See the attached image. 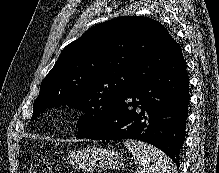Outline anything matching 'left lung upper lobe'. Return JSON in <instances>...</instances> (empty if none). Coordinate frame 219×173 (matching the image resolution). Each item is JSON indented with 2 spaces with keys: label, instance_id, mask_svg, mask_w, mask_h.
<instances>
[{
  "label": "left lung upper lobe",
  "instance_id": "5c2ea615",
  "mask_svg": "<svg viewBox=\"0 0 219 173\" xmlns=\"http://www.w3.org/2000/svg\"><path fill=\"white\" fill-rule=\"evenodd\" d=\"M168 36L161 23L143 16H122L88 29L63 49L43 79L31 120L45 108L68 105L85 112L77 137L95 132L132 89L136 66Z\"/></svg>",
  "mask_w": 219,
  "mask_h": 173
}]
</instances>
